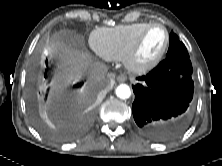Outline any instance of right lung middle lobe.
Here are the masks:
<instances>
[{
    "instance_id": "obj_1",
    "label": "right lung middle lobe",
    "mask_w": 222,
    "mask_h": 166,
    "mask_svg": "<svg viewBox=\"0 0 222 166\" xmlns=\"http://www.w3.org/2000/svg\"><path fill=\"white\" fill-rule=\"evenodd\" d=\"M34 119H35L36 125H37L39 128H42V125H41L40 121L37 119L36 115H34Z\"/></svg>"
}]
</instances>
